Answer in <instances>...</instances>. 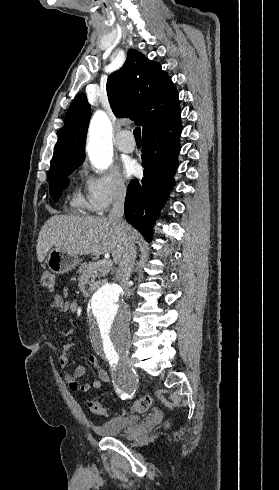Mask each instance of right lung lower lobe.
Instances as JSON below:
<instances>
[{
    "label": "right lung lower lobe",
    "instance_id": "98d812e1",
    "mask_svg": "<svg viewBox=\"0 0 279 490\" xmlns=\"http://www.w3.org/2000/svg\"><path fill=\"white\" fill-rule=\"evenodd\" d=\"M170 129L173 132H169ZM181 130L179 120L161 131L143 136L144 177L141 181L131 180L128 186L125 217L147 241L152 239L153 225L174 184Z\"/></svg>",
    "mask_w": 279,
    "mask_h": 490
}]
</instances>
